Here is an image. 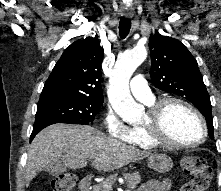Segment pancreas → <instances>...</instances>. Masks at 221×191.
I'll use <instances>...</instances> for the list:
<instances>
[{"label":"pancreas","mask_w":221,"mask_h":191,"mask_svg":"<svg viewBox=\"0 0 221 191\" xmlns=\"http://www.w3.org/2000/svg\"><path fill=\"white\" fill-rule=\"evenodd\" d=\"M123 176L126 181V186L129 189L136 188V186L141 182V175L138 172L124 173ZM116 177H117V174H114L108 177L103 182L94 185L92 191H109L105 185L111 186L114 180L116 179Z\"/></svg>","instance_id":"1"}]
</instances>
